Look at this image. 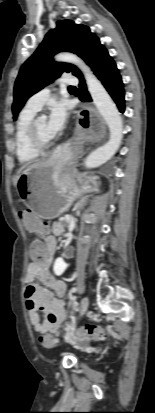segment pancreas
<instances>
[{"label":"pancreas","instance_id":"cf45deb5","mask_svg":"<svg viewBox=\"0 0 155 413\" xmlns=\"http://www.w3.org/2000/svg\"><path fill=\"white\" fill-rule=\"evenodd\" d=\"M54 229L61 228V222H56L53 226ZM61 231H56V234H60Z\"/></svg>","mask_w":155,"mask_h":413}]
</instances>
